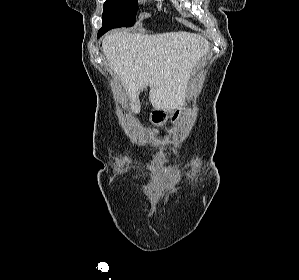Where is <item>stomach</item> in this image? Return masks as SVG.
I'll list each match as a JSON object with an SVG mask.
<instances>
[{"mask_svg":"<svg viewBox=\"0 0 299 280\" xmlns=\"http://www.w3.org/2000/svg\"><path fill=\"white\" fill-rule=\"evenodd\" d=\"M182 112H183V109L173 112V114H172L173 120L177 121L180 118ZM167 119H168V113L164 110L155 109L150 114V122L155 126L163 125L167 121Z\"/></svg>","mask_w":299,"mask_h":280,"instance_id":"obj_1","label":"stomach"}]
</instances>
